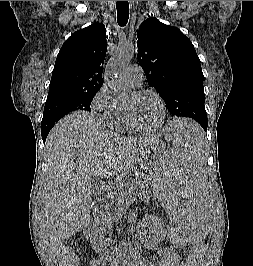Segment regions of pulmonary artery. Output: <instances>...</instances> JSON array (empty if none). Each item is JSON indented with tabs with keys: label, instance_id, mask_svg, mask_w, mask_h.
<instances>
[{
	"label": "pulmonary artery",
	"instance_id": "1",
	"mask_svg": "<svg viewBox=\"0 0 253 266\" xmlns=\"http://www.w3.org/2000/svg\"><path fill=\"white\" fill-rule=\"evenodd\" d=\"M126 78L132 86H140L143 80V73L139 65L131 64L126 69Z\"/></svg>",
	"mask_w": 253,
	"mask_h": 266
}]
</instances>
